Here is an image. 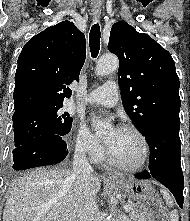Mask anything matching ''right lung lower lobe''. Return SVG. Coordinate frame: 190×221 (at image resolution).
<instances>
[{"instance_id":"obj_1","label":"right lung lower lobe","mask_w":190,"mask_h":221,"mask_svg":"<svg viewBox=\"0 0 190 221\" xmlns=\"http://www.w3.org/2000/svg\"><path fill=\"white\" fill-rule=\"evenodd\" d=\"M66 155V142L62 139V135H40L13 150V168L25 170L53 165L61 162Z\"/></svg>"}]
</instances>
